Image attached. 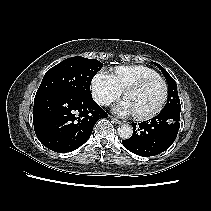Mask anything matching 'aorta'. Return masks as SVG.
<instances>
[{"mask_svg":"<svg viewBox=\"0 0 211 211\" xmlns=\"http://www.w3.org/2000/svg\"><path fill=\"white\" fill-rule=\"evenodd\" d=\"M118 135L122 139H129L132 136L133 129L129 124H122L117 129Z\"/></svg>","mask_w":211,"mask_h":211,"instance_id":"aorta-1","label":"aorta"}]
</instances>
